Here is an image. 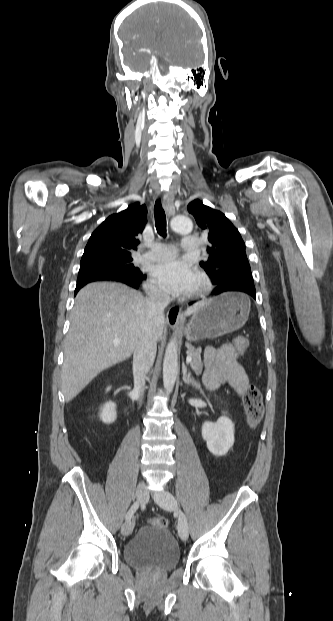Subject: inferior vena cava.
<instances>
[{
  "mask_svg": "<svg viewBox=\"0 0 333 621\" xmlns=\"http://www.w3.org/2000/svg\"><path fill=\"white\" fill-rule=\"evenodd\" d=\"M170 303V293L155 289L146 298L148 319L161 322L164 318V309ZM157 350L156 332L151 326H146L138 335L133 355L134 390L139 395V404L144 394L145 377L151 369Z\"/></svg>",
  "mask_w": 333,
  "mask_h": 621,
  "instance_id": "obj_1",
  "label": "inferior vena cava"
}]
</instances>
